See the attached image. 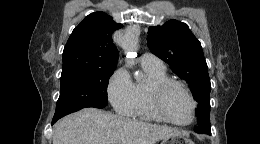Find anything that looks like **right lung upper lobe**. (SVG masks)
<instances>
[{"mask_svg": "<svg viewBox=\"0 0 260 144\" xmlns=\"http://www.w3.org/2000/svg\"><path fill=\"white\" fill-rule=\"evenodd\" d=\"M122 27L104 12L89 14L72 32L63 51L64 71L116 68L118 50L111 34Z\"/></svg>", "mask_w": 260, "mask_h": 144, "instance_id": "cb5924a9", "label": "right lung upper lobe"}]
</instances>
